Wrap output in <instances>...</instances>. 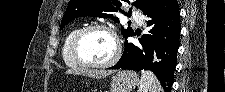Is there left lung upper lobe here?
<instances>
[{
	"label": "left lung upper lobe",
	"instance_id": "left-lung-upper-lobe-1",
	"mask_svg": "<svg viewBox=\"0 0 225 92\" xmlns=\"http://www.w3.org/2000/svg\"><path fill=\"white\" fill-rule=\"evenodd\" d=\"M161 0H135L133 5L146 13L154 8ZM122 2H128L129 0H70L63 16L60 30L71 20L80 16H94L110 18L113 12L123 11L119 6ZM115 22H118V18H114ZM121 33L126 39L133 35L132 28H121Z\"/></svg>",
	"mask_w": 225,
	"mask_h": 92
}]
</instances>
